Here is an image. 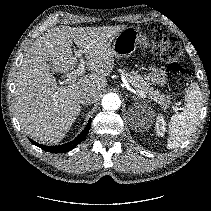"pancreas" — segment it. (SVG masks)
<instances>
[{
    "mask_svg": "<svg viewBox=\"0 0 211 211\" xmlns=\"http://www.w3.org/2000/svg\"><path fill=\"white\" fill-rule=\"evenodd\" d=\"M119 72L133 88L141 91L151 100L156 101L161 108L166 109L171 104L169 96H165L164 94H161L160 91L151 87L150 84L136 71L127 72L125 69L120 68Z\"/></svg>",
    "mask_w": 211,
    "mask_h": 211,
    "instance_id": "1",
    "label": "pancreas"
}]
</instances>
